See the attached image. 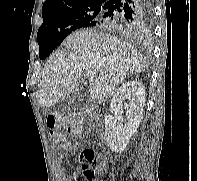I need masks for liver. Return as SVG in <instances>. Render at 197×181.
I'll return each mask as SVG.
<instances>
[{
  "mask_svg": "<svg viewBox=\"0 0 197 181\" xmlns=\"http://www.w3.org/2000/svg\"><path fill=\"white\" fill-rule=\"evenodd\" d=\"M64 46L67 52H55L45 65L37 95L43 108L69 96L84 72H96L89 93L93 99L103 100L115 93L126 76L148 67L134 46L109 34L77 31L66 38Z\"/></svg>",
  "mask_w": 197,
  "mask_h": 181,
  "instance_id": "6515ba94",
  "label": "liver"
}]
</instances>
